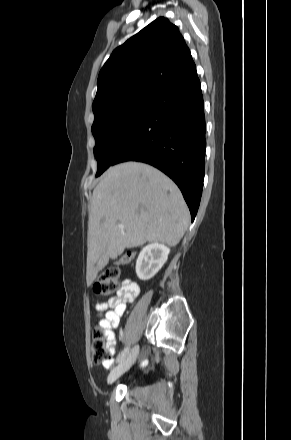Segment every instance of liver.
<instances>
[{
  "label": "liver",
  "mask_w": 291,
  "mask_h": 440,
  "mask_svg": "<svg viewBox=\"0 0 291 440\" xmlns=\"http://www.w3.org/2000/svg\"><path fill=\"white\" fill-rule=\"evenodd\" d=\"M188 207L177 185L139 162L110 167L93 190L88 221L87 284L125 248L146 242L176 246L188 229ZM124 228L119 229L118 225Z\"/></svg>",
  "instance_id": "6515ba94"
}]
</instances>
